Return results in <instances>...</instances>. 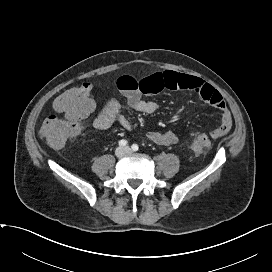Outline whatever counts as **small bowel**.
Returning <instances> with one entry per match:
<instances>
[{"mask_svg":"<svg viewBox=\"0 0 272 272\" xmlns=\"http://www.w3.org/2000/svg\"><path fill=\"white\" fill-rule=\"evenodd\" d=\"M116 86L126 97L128 105L144 114H153L158 106L155 102L144 99L143 95L156 94L167 89L190 90L221 113L220 126L211 132L213 138L222 137L231 129V114L222 95L200 78L174 71H163L139 79L131 75H122L116 80ZM116 122L127 130L131 129L130 121L122 114L121 103L115 98H108L94 117L93 126L99 130H106ZM146 136L150 141L161 146H171L179 140L174 131H151Z\"/></svg>","mask_w":272,"mask_h":272,"instance_id":"1","label":"small bowel"}]
</instances>
